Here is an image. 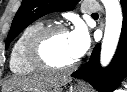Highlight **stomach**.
I'll use <instances>...</instances> for the list:
<instances>
[{
    "label": "stomach",
    "mask_w": 127,
    "mask_h": 92,
    "mask_svg": "<svg viewBox=\"0 0 127 92\" xmlns=\"http://www.w3.org/2000/svg\"><path fill=\"white\" fill-rule=\"evenodd\" d=\"M58 92H61V91H58ZM70 92H90V90L86 85L80 83L77 86L72 87Z\"/></svg>",
    "instance_id": "0dacf381"
}]
</instances>
